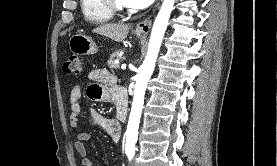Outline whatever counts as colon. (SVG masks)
Segmentation results:
<instances>
[{"mask_svg":"<svg viewBox=\"0 0 277 166\" xmlns=\"http://www.w3.org/2000/svg\"><path fill=\"white\" fill-rule=\"evenodd\" d=\"M64 72L71 74H81L83 71L82 58L78 54H72L63 65Z\"/></svg>","mask_w":277,"mask_h":166,"instance_id":"obj_1","label":"colon"}]
</instances>
